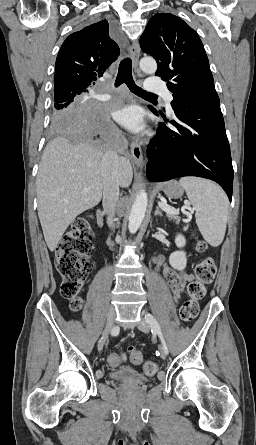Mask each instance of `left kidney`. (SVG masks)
Wrapping results in <instances>:
<instances>
[{"label":"left kidney","mask_w":256,"mask_h":445,"mask_svg":"<svg viewBox=\"0 0 256 445\" xmlns=\"http://www.w3.org/2000/svg\"><path fill=\"white\" fill-rule=\"evenodd\" d=\"M175 243L177 247L182 248L186 244V240L183 235L178 234L175 238ZM170 265L177 270H184L187 264L186 254L184 251H175L169 256Z\"/></svg>","instance_id":"left-kidney-1"}]
</instances>
